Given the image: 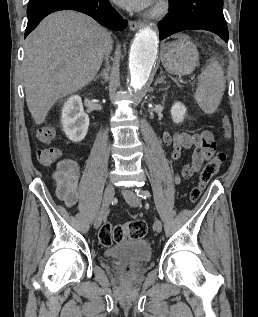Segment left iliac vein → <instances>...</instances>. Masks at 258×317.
I'll use <instances>...</instances> for the list:
<instances>
[{"mask_svg": "<svg viewBox=\"0 0 258 317\" xmlns=\"http://www.w3.org/2000/svg\"><path fill=\"white\" fill-rule=\"evenodd\" d=\"M123 198H125V201L129 204H134L135 206H138V203H141V197L137 195L135 192L130 191V189H122ZM153 226L155 227L156 232L162 231V223L160 219H155Z\"/></svg>", "mask_w": 258, "mask_h": 317, "instance_id": "left-iliac-vein-1", "label": "left iliac vein"}]
</instances>
